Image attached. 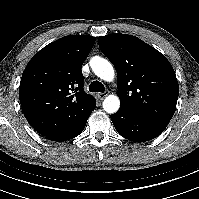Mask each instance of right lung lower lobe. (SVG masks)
<instances>
[{
  "label": "right lung lower lobe",
  "instance_id": "1",
  "mask_svg": "<svg viewBox=\"0 0 199 199\" xmlns=\"http://www.w3.org/2000/svg\"><path fill=\"white\" fill-rule=\"evenodd\" d=\"M96 107V106H95ZM94 107V108H95ZM94 110V109H93ZM92 110V111H93ZM91 114V113H90ZM90 116V115H89ZM88 116V117H89ZM88 117L86 118V120L84 122H82L76 129H74L73 131L71 132H68L64 135H61L59 137H56V138H51L50 140L52 141H57V142H61V141H66V140H70L76 136H78L79 134H81V132L83 131L85 125H86V122H87V119Z\"/></svg>",
  "mask_w": 199,
  "mask_h": 199
}]
</instances>
